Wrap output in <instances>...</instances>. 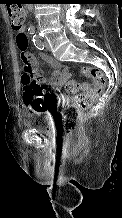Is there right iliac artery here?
Segmentation results:
<instances>
[{
	"label": "right iliac artery",
	"instance_id": "obj_1",
	"mask_svg": "<svg viewBox=\"0 0 122 218\" xmlns=\"http://www.w3.org/2000/svg\"><path fill=\"white\" fill-rule=\"evenodd\" d=\"M29 32H30V34H34L35 33V29L31 28V29H29Z\"/></svg>",
	"mask_w": 122,
	"mask_h": 218
}]
</instances>
